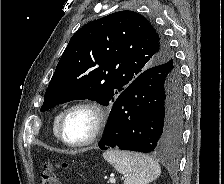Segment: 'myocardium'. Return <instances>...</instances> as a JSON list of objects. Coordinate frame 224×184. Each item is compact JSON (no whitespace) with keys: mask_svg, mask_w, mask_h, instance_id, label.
<instances>
[{"mask_svg":"<svg viewBox=\"0 0 224 184\" xmlns=\"http://www.w3.org/2000/svg\"><path fill=\"white\" fill-rule=\"evenodd\" d=\"M77 109H88L95 115V124L90 136L81 142L68 141L63 133L64 122L68 115ZM108 121V111L101 103L94 100H80L68 106L61 114L57 126V135L62 143L71 148H84L92 145L103 135Z\"/></svg>","mask_w":224,"mask_h":184,"instance_id":"1","label":"myocardium"}]
</instances>
